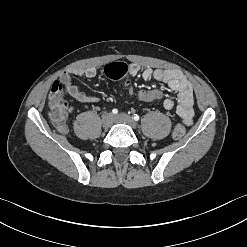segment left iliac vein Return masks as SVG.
Masks as SVG:
<instances>
[{"instance_id": "obj_1", "label": "left iliac vein", "mask_w": 247, "mask_h": 247, "mask_svg": "<svg viewBox=\"0 0 247 247\" xmlns=\"http://www.w3.org/2000/svg\"><path fill=\"white\" fill-rule=\"evenodd\" d=\"M116 123H123L131 126L133 129L137 128V124L132 120L130 116L124 113H120L114 117Z\"/></svg>"}]
</instances>
